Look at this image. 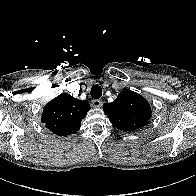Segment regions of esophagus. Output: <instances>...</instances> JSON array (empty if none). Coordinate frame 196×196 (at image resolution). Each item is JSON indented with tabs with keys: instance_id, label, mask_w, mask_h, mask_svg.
<instances>
[{
	"instance_id": "1",
	"label": "esophagus",
	"mask_w": 196,
	"mask_h": 196,
	"mask_svg": "<svg viewBox=\"0 0 196 196\" xmlns=\"http://www.w3.org/2000/svg\"><path fill=\"white\" fill-rule=\"evenodd\" d=\"M103 102L102 100L100 99H94L92 100L91 102V105L94 107V108H100L102 106Z\"/></svg>"
}]
</instances>
